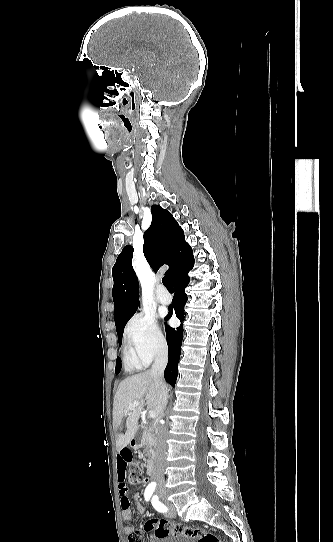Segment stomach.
Listing matches in <instances>:
<instances>
[{
	"instance_id": "obj_1",
	"label": "stomach",
	"mask_w": 333,
	"mask_h": 542,
	"mask_svg": "<svg viewBox=\"0 0 333 542\" xmlns=\"http://www.w3.org/2000/svg\"><path fill=\"white\" fill-rule=\"evenodd\" d=\"M142 442H143V434H141V432H137L135 438L131 440L130 446L131 448H135V450H137V448H141Z\"/></svg>"
}]
</instances>
